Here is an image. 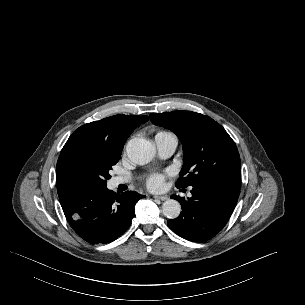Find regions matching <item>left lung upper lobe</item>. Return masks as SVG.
I'll return each instance as SVG.
<instances>
[{"mask_svg":"<svg viewBox=\"0 0 305 305\" xmlns=\"http://www.w3.org/2000/svg\"><path fill=\"white\" fill-rule=\"evenodd\" d=\"M157 126L172 130L181 140L184 164L176 187L196 186L213 179L241 175L237 147L212 118L191 111L151 113Z\"/></svg>","mask_w":305,"mask_h":305,"instance_id":"5c2ea615","label":"left lung upper lobe"}]
</instances>
